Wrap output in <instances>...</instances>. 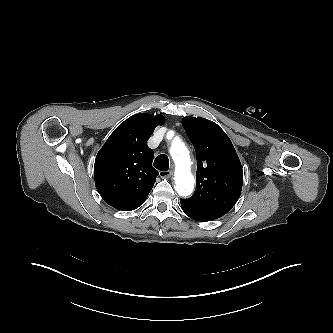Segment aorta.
Segmentation results:
<instances>
[{
  "instance_id": "762f6f07",
  "label": "aorta",
  "mask_w": 333,
  "mask_h": 333,
  "mask_svg": "<svg viewBox=\"0 0 333 333\" xmlns=\"http://www.w3.org/2000/svg\"><path fill=\"white\" fill-rule=\"evenodd\" d=\"M170 154L176 165L174 188L180 196H189L195 184L189 152L181 140H175L171 145Z\"/></svg>"
}]
</instances>
